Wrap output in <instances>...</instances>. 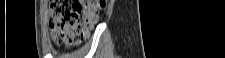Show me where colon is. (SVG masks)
<instances>
[{"label":"colon","instance_id":"1","mask_svg":"<svg viewBox=\"0 0 225 58\" xmlns=\"http://www.w3.org/2000/svg\"><path fill=\"white\" fill-rule=\"evenodd\" d=\"M104 7V1L100 0H52L49 27L54 41L67 47L80 44L88 36Z\"/></svg>","mask_w":225,"mask_h":58}]
</instances>
